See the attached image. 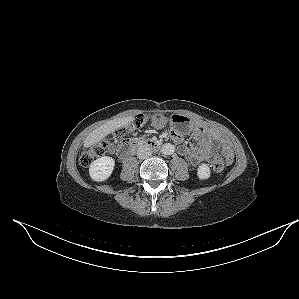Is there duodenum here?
<instances>
[{
	"label": "duodenum",
	"instance_id": "obj_1",
	"mask_svg": "<svg viewBox=\"0 0 299 299\" xmlns=\"http://www.w3.org/2000/svg\"><path fill=\"white\" fill-rule=\"evenodd\" d=\"M141 146L149 147L151 149H159L161 144L155 140L133 139L122 143L118 147V153L122 157H127Z\"/></svg>",
	"mask_w": 299,
	"mask_h": 299
}]
</instances>
